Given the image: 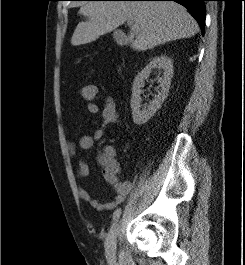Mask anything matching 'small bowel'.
<instances>
[{"label": "small bowel", "mask_w": 245, "mask_h": 265, "mask_svg": "<svg viewBox=\"0 0 245 265\" xmlns=\"http://www.w3.org/2000/svg\"><path fill=\"white\" fill-rule=\"evenodd\" d=\"M87 110L93 115L100 113L101 120L98 127L92 134L82 136L78 142V148L82 152L90 151L95 142L101 140L105 135L106 129L117 122L119 114L117 105L112 97H107L105 105L100 112V108L97 104L90 102L87 104ZM68 154L70 158L75 157L77 152V146L73 142L67 144ZM98 162L102 167V173L104 179L113 187L115 196L111 201L101 202L92 197L90 192L80 187L78 190L79 197L87 202L90 206L98 211L112 210L123 203L127 196L133 189V184L129 180H119L118 173L120 171V164L116 158V150L113 146L108 145L98 155ZM76 174L79 178H84L89 174V166L84 159H80Z\"/></svg>", "instance_id": "c3829d8e"}]
</instances>
